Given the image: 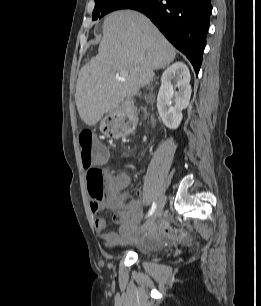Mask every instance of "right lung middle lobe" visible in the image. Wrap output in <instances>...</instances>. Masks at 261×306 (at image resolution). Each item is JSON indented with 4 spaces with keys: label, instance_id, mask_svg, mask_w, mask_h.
I'll list each match as a JSON object with an SVG mask.
<instances>
[{
    "label": "right lung middle lobe",
    "instance_id": "right-lung-middle-lobe-1",
    "mask_svg": "<svg viewBox=\"0 0 261 306\" xmlns=\"http://www.w3.org/2000/svg\"><path fill=\"white\" fill-rule=\"evenodd\" d=\"M141 0H95V8L93 10L92 19L96 20L105 14L124 8H131L134 4Z\"/></svg>",
    "mask_w": 261,
    "mask_h": 306
}]
</instances>
